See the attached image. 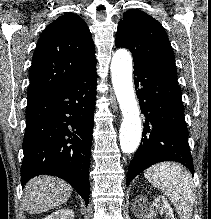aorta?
<instances>
[{
    "label": "aorta",
    "instance_id": "obj_1",
    "mask_svg": "<svg viewBox=\"0 0 211 219\" xmlns=\"http://www.w3.org/2000/svg\"><path fill=\"white\" fill-rule=\"evenodd\" d=\"M115 95L123 115L120 147L124 153L136 151L141 140V119L132 83V57L126 49L117 50L111 61Z\"/></svg>",
    "mask_w": 211,
    "mask_h": 219
}]
</instances>
